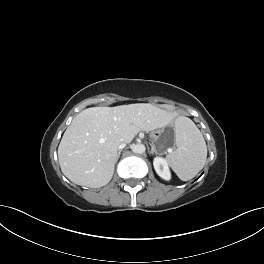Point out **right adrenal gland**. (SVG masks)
I'll use <instances>...</instances> for the list:
<instances>
[{
    "mask_svg": "<svg viewBox=\"0 0 264 264\" xmlns=\"http://www.w3.org/2000/svg\"><path fill=\"white\" fill-rule=\"evenodd\" d=\"M121 151H122V150H119V151H118L117 160H118V159H119V157H120Z\"/></svg>",
    "mask_w": 264,
    "mask_h": 264,
    "instance_id": "1",
    "label": "right adrenal gland"
}]
</instances>
